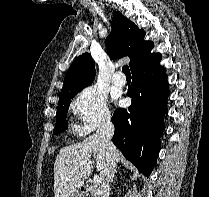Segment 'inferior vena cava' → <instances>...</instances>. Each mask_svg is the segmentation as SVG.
Wrapping results in <instances>:
<instances>
[{
    "instance_id": "602c4592",
    "label": "inferior vena cava",
    "mask_w": 209,
    "mask_h": 197,
    "mask_svg": "<svg viewBox=\"0 0 209 197\" xmlns=\"http://www.w3.org/2000/svg\"><path fill=\"white\" fill-rule=\"evenodd\" d=\"M114 134V125L110 118L105 119L97 129V135L102 139L106 148V165L102 171L103 183L100 197H109L110 182L116 167L115 146L111 139Z\"/></svg>"
}]
</instances>
